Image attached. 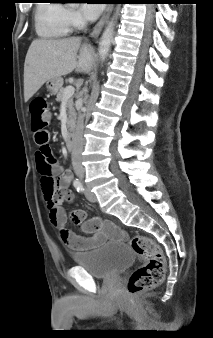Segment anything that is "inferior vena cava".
I'll use <instances>...</instances> for the list:
<instances>
[{
	"label": "inferior vena cava",
	"mask_w": 213,
	"mask_h": 338,
	"mask_svg": "<svg viewBox=\"0 0 213 338\" xmlns=\"http://www.w3.org/2000/svg\"><path fill=\"white\" fill-rule=\"evenodd\" d=\"M83 129H84V116L80 112L77 120L76 131L73 138L72 146V166L75 174L79 178L84 176V168L82 166V151H83Z\"/></svg>",
	"instance_id": "1"
}]
</instances>
